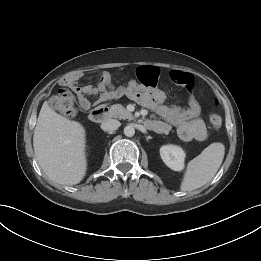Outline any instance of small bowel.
I'll return each mask as SVG.
<instances>
[{"instance_id":"obj_1","label":"small bowel","mask_w":261,"mask_h":261,"mask_svg":"<svg viewBox=\"0 0 261 261\" xmlns=\"http://www.w3.org/2000/svg\"><path fill=\"white\" fill-rule=\"evenodd\" d=\"M160 75L155 66H142L137 69L138 81H131L126 86L115 87L111 83V76L105 72L102 74L96 86L78 83L80 75L63 80V85L71 88L77 95L82 110L87 111L91 107L90 96L96 97L97 102L117 100L128 97L139 104L155 111L164 121L152 122V127L158 133H166L170 126H175L179 138L183 141L205 140L208 130L205 122L200 117L201 107L192 95L194 89V77L188 72L173 70L169 73L170 79L176 84L182 85L190 92L189 104L181 108L164 103L165 96L160 90H151Z\"/></svg>"}]
</instances>
